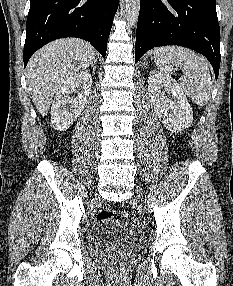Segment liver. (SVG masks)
Instances as JSON below:
<instances>
[{
	"mask_svg": "<svg viewBox=\"0 0 233 286\" xmlns=\"http://www.w3.org/2000/svg\"><path fill=\"white\" fill-rule=\"evenodd\" d=\"M95 57L92 45L77 38L53 41L32 56L26 73L28 90L42 116L47 115L56 91L93 64Z\"/></svg>",
	"mask_w": 233,
	"mask_h": 286,
	"instance_id": "liver-1",
	"label": "liver"
}]
</instances>
